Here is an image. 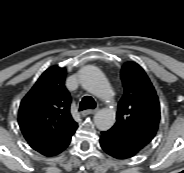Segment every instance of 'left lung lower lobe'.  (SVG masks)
Returning <instances> with one entry per match:
<instances>
[{
  "label": "left lung lower lobe",
  "instance_id": "1",
  "mask_svg": "<svg viewBox=\"0 0 184 173\" xmlns=\"http://www.w3.org/2000/svg\"><path fill=\"white\" fill-rule=\"evenodd\" d=\"M100 145L108 155L118 160L128 159L139 153L110 129L101 133Z\"/></svg>",
  "mask_w": 184,
  "mask_h": 173
}]
</instances>
